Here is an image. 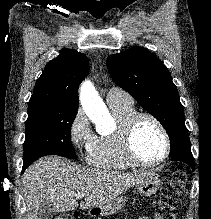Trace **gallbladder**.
I'll use <instances>...</instances> for the list:
<instances>
[{
    "mask_svg": "<svg viewBox=\"0 0 211 219\" xmlns=\"http://www.w3.org/2000/svg\"><path fill=\"white\" fill-rule=\"evenodd\" d=\"M53 214V203L50 201H43L38 208V219H52Z\"/></svg>",
    "mask_w": 211,
    "mask_h": 219,
    "instance_id": "bac80fb5",
    "label": "gallbladder"
}]
</instances>
